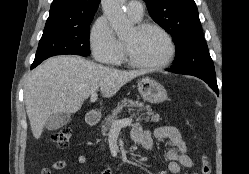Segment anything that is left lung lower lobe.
Wrapping results in <instances>:
<instances>
[{
    "label": "left lung lower lobe",
    "mask_w": 249,
    "mask_h": 174,
    "mask_svg": "<svg viewBox=\"0 0 249 174\" xmlns=\"http://www.w3.org/2000/svg\"><path fill=\"white\" fill-rule=\"evenodd\" d=\"M167 71L173 72V73H180V72L176 71L173 68L167 69ZM180 74L192 75V76H195V77H198V78L202 79L203 81H205L210 86V88L217 95H219V90H218V86H217L215 73L208 72V71H194V72H184V73H180Z\"/></svg>",
    "instance_id": "obj_1"
}]
</instances>
